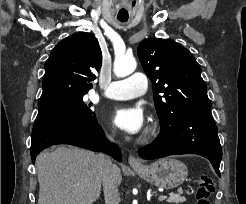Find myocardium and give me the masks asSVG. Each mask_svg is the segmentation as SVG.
<instances>
[{"label": "myocardium", "instance_id": "1", "mask_svg": "<svg viewBox=\"0 0 246 204\" xmlns=\"http://www.w3.org/2000/svg\"><path fill=\"white\" fill-rule=\"evenodd\" d=\"M154 132H155L154 127H149V128L146 130V132L144 133V135H143V137H142V141H147V140H149V139L153 136Z\"/></svg>", "mask_w": 246, "mask_h": 204}]
</instances>
